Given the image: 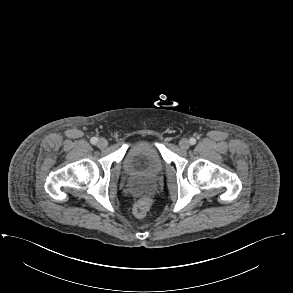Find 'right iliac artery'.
I'll use <instances>...</instances> for the list:
<instances>
[{
	"label": "right iliac artery",
	"mask_w": 293,
	"mask_h": 293,
	"mask_svg": "<svg viewBox=\"0 0 293 293\" xmlns=\"http://www.w3.org/2000/svg\"><path fill=\"white\" fill-rule=\"evenodd\" d=\"M97 141H98V139H97L96 137H92L91 140H90V142H91L92 144H96Z\"/></svg>",
	"instance_id": "obj_1"
}]
</instances>
